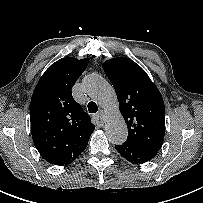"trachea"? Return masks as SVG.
<instances>
[{"instance_id": "3493384b", "label": "trachea", "mask_w": 203, "mask_h": 203, "mask_svg": "<svg viewBox=\"0 0 203 203\" xmlns=\"http://www.w3.org/2000/svg\"><path fill=\"white\" fill-rule=\"evenodd\" d=\"M87 107L89 113H96L98 111L97 104L93 101L89 102Z\"/></svg>"}]
</instances>
